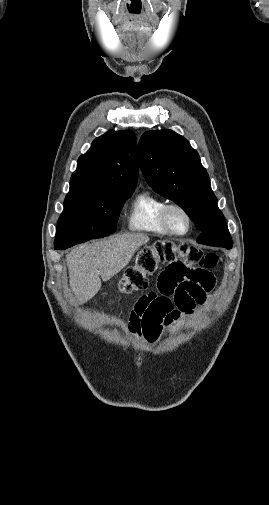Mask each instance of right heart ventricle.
<instances>
[{"label": "right heart ventricle", "mask_w": 269, "mask_h": 505, "mask_svg": "<svg viewBox=\"0 0 269 505\" xmlns=\"http://www.w3.org/2000/svg\"><path fill=\"white\" fill-rule=\"evenodd\" d=\"M165 201L150 191H142L135 196L129 207L127 224L131 231L149 233L156 236L169 235L161 223L160 211Z\"/></svg>", "instance_id": "obj_1"}]
</instances>
